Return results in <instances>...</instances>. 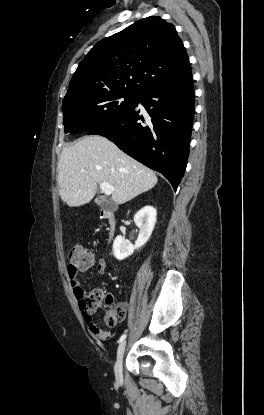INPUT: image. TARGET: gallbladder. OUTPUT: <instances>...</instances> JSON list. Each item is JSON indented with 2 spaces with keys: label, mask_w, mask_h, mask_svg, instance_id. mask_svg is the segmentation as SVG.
<instances>
[{
  "label": "gallbladder",
  "mask_w": 264,
  "mask_h": 415,
  "mask_svg": "<svg viewBox=\"0 0 264 415\" xmlns=\"http://www.w3.org/2000/svg\"><path fill=\"white\" fill-rule=\"evenodd\" d=\"M97 204H98L101 208H104V209L108 208V204H107V203H105L103 200H98V201H97Z\"/></svg>",
  "instance_id": "1"
}]
</instances>
